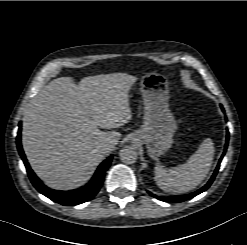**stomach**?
Returning a JSON list of instances; mask_svg holds the SVG:
<instances>
[{
    "label": "stomach",
    "mask_w": 247,
    "mask_h": 245,
    "mask_svg": "<svg viewBox=\"0 0 247 245\" xmlns=\"http://www.w3.org/2000/svg\"><path fill=\"white\" fill-rule=\"evenodd\" d=\"M144 104L143 125L135 132L133 141L145 144L150 157L157 158L169 150L177 130L176 120L169 109V87L165 75L148 72L140 81Z\"/></svg>",
    "instance_id": "obj_1"
}]
</instances>
